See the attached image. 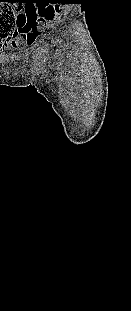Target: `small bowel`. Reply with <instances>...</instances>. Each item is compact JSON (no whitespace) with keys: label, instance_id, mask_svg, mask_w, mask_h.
<instances>
[{"label":"small bowel","instance_id":"1","mask_svg":"<svg viewBox=\"0 0 131 311\" xmlns=\"http://www.w3.org/2000/svg\"><path fill=\"white\" fill-rule=\"evenodd\" d=\"M25 37V42L27 45H32L34 43L35 40V36L32 34H27Z\"/></svg>","mask_w":131,"mask_h":311}]
</instances>
